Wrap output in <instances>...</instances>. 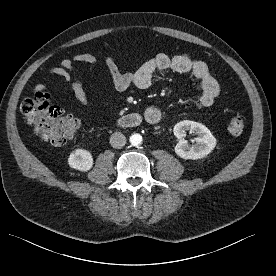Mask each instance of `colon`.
Returning <instances> with one entry per match:
<instances>
[{
	"label": "colon",
	"mask_w": 276,
	"mask_h": 276,
	"mask_svg": "<svg viewBox=\"0 0 276 276\" xmlns=\"http://www.w3.org/2000/svg\"><path fill=\"white\" fill-rule=\"evenodd\" d=\"M20 110L34 133L54 145H63L74 138L80 128V121L71 116H63L59 107L50 103V96L39 91L21 102ZM245 119L240 115L231 117L228 131L239 136L245 129Z\"/></svg>",
	"instance_id": "5ec220e1"
}]
</instances>
